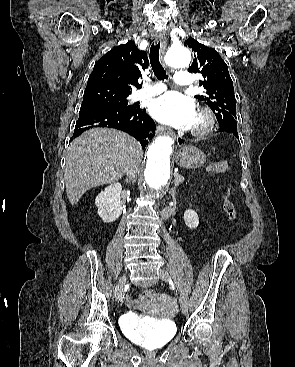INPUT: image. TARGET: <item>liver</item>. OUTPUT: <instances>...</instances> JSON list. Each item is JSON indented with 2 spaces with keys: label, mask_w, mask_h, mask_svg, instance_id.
Listing matches in <instances>:
<instances>
[{
  "label": "liver",
  "mask_w": 295,
  "mask_h": 367,
  "mask_svg": "<svg viewBox=\"0 0 295 367\" xmlns=\"http://www.w3.org/2000/svg\"><path fill=\"white\" fill-rule=\"evenodd\" d=\"M140 144L130 135L113 129L84 132L69 146L64 179L71 205L94 187L118 181L131 164H139Z\"/></svg>",
  "instance_id": "obj_1"
}]
</instances>
